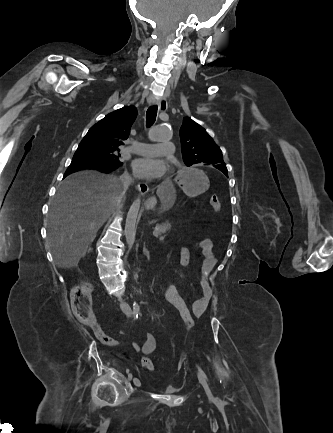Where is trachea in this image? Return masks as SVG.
Segmentation results:
<instances>
[{
	"mask_svg": "<svg viewBox=\"0 0 333 433\" xmlns=\"http://www.w3.org/2000/svg\"><path fill=\"white\" fill-rule=\"evenodd\" d=\"M157 110H158L157 105L150 106L147 109V112H146V126L147 127L152 126L153 123L155 122V119L157 116Z\"/></svg>",
	"mask_w": 333,
	"mask_h": 433,
	"instance_id": "3493384b",
	"label": "trachea"
}]
</instances>
